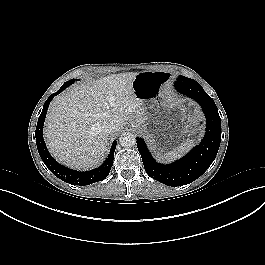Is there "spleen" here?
I'll return each mask as SVG.
<instances>
[{"label": "spleen", "mask_w": 265, "mask_h": 265, "mask_svg": "<svg viewBox=\"0 0 265 265\" xmlns=\"http://www.w3.org/2000/svg\"><path fill=\"white\" fill-rule=\"evenodd\" d=\"M194 144L195 143L193 140H188L187 142L182 143L172 151H169L166 154H164L162 158L165 159L166 161L175 160L181 157L184 153L188 152L194 146Z\"/></svg>", "instance_id": "obj_1"}]
</instances>
